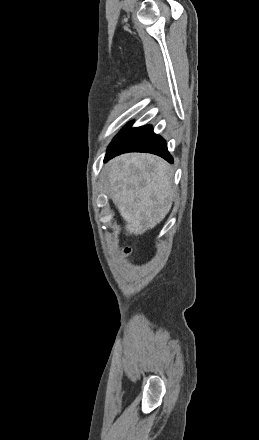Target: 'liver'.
Returning <instances> with one entry per match:
<instances>
[{
    "instance_id": "1",
    "label": "liver",
    "mask_w": 259,
    "mask_h": 440,
    "mask_svg": "<svg viewBox=\"0 0 259 440\" xmlns=\"http://www.w3.org/2000/svg\"><path fill=\"white\" fill-rule=\"evenodd\" d=\"M172 176L167 162L151 154H124L109 162V195L126 222V235H142L165 218L173 201Z\"/></svg>"
}]
</instances>
